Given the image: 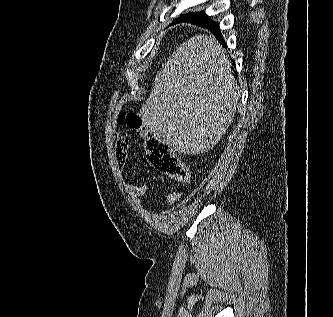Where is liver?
I'll use <instances>...</instances> for the list:
<instances>
[{
    "instance_id": "1",
    "label": "liver",
    "mask_w": 333,
    "mask_h": 317,
    "mask_svg": "<svg viewBox=\"0 0 333 317\" xmlns=\"http://www.w3.org/2000/svg\"><path fill=\"white\" fill-rule=\"evenodd\" d=\"M240 97L223 46L212 35H197L169 57L139 116L171 151L197 155L225 134Z\"/></svg>"
}]
</instances>
